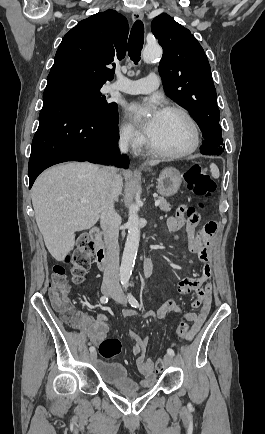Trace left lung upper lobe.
<instances>
[{
	"instance_id": "left-lung-upper-lobe-1",
	"label": "left lung upper lobe",
	"mask_w": 265,
	"mask_h": 434,
	"mask_svg": "<svg viewBox=\"0 0 265 434\" xmlns=\"http://www.w3.org/2000/svg\"><path fill=\"white\" fill-rule=\"evenodd\" d=\"M151 30L163 48L159 73L166 95L190 113L206 141L223 148L216 89L203 48L168 14L157 16Z\"/></svg>"
}]
</instances>
